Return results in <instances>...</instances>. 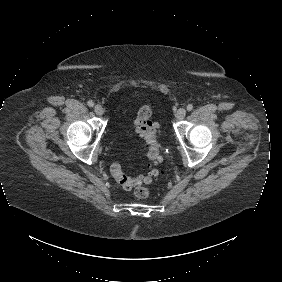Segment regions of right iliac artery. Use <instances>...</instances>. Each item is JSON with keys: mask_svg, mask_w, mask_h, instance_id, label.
Masks as SVG:
<instances>
[{"mask_svg": "<svg viewBox=\"0 0 282 282\" xmlns=\"http://www.w3.org/2000/svg\"><path fill=\"white\" fill-rule=\"evenodd\" d=\"M87 104H88L89 107H93L94 106V102L92 100H89L87 102Z\"/></svg>", "mask_w": 282, "mask_h": 282, "instance_id": "1", "label": "right iliac artery"}]
</instances>
